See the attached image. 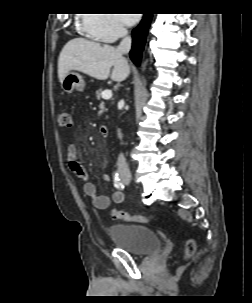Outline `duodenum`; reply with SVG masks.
Returning a JSON list of instances; mask_svg holds the SVG:
<instances>
[{"label":"duodenum","mask_w":252,"mask_h":303,"mask_svg":"<svg viewBox=\"0 0 252 303\" xmlns=\"http://www.w3.org/2000/svg\"><path fill=\"white\" fill-rule=\"evenodd\" d=\"M108 131H109V129H108V126H106V125H102L99 128V133H100L101 137H106L108 135Z\"/></svg>","instance_id":"duodenum-1"}]
</instances>
